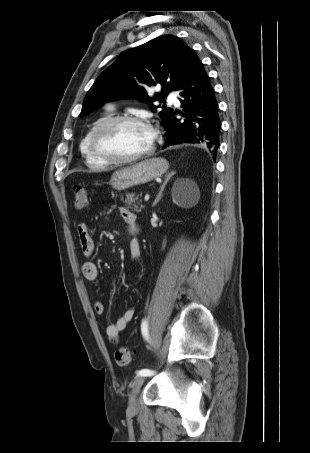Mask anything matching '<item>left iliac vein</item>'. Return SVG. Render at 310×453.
<instances>
[{"mask_svg":"<svg viewBox=\"0 0 310 453\" xmlns=\"http://www.w3.org/2000/svg\"><path fill=\"white\" fill-rule=\"evenodd\" d=\"M143 383H144V376L139 375L134 379L132 390H131L130 396H129V406H128V411L131 414H135L138 410L137 395L139 394Z\"/></svg>","mask_w":310,"mask_h":453,"instance_id":"1","label":"left iliac vein"}]
</instances>
